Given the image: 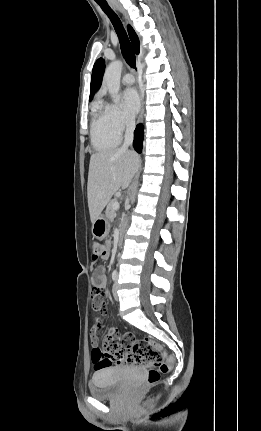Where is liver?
<instances>
[{
    "mask_svg": "<svg viewBox=\"0 0 261 431\" xmlns=\"http://www.w3.org/2000/svg\"><path fill=\"white\" fill-rule=\"evenodd\" d=\"M139 156L127 149L91 155L87 183L90 219L93 223L119 188L126 189L138 166Z\"/></svg>",
    "mask_w": 261,
    "mask_h": 431,
    "instance_id": "1",
    "label": "liver"
}]
</instances>
